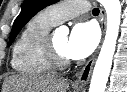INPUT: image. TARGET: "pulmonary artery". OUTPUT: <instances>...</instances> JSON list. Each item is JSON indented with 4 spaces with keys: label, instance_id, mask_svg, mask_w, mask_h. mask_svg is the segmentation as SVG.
<instances>
[{
    "label": "pulmonary artery",
    "instance_id": "pulmonary-artery-1",
    "mask_svg": "<svg viewBox=\"0 0 127 92\" xmlns=\"http://www.w3.org/2000/svg\"><path fill=\"white\" fill-rule=\"evenodd\" d=\"M90 4L87 1H64L52 5L46 9L47 14L57 23L89 11Z\"/></svg>",
    "mask_w": 127,
    "mask_h": 92
}]
</instances>
